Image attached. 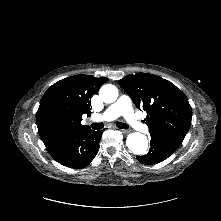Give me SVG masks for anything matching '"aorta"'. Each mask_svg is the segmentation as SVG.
Listing matches in <instances>:
<instances>
[{
	"instance_id": "762f6f07",
	"label": "aorta",
	"mask_w": 221,
	"mask_h": 221,
	"mask_svg": "<svg viewBox=\"0 0 221 221\" xmlns=\"http://www.w3.org/2000/svg\"><path fill=\"white\" fill-rule=\"evenodd\" d=\"M100 98L105 103L115 102L118 97V89L112 84L103 85L100 89ZM126 145L135 155H144L147 152V137L139 132L130 133L126 139Z\"/></svg>"
}]
</instances>
